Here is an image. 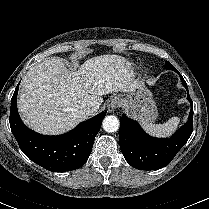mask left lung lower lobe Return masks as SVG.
<instances>
[{"mask_svg": "<svg viewBox=\"0 0 209 209\" xmlns=\"http://www.w3.org/2000/svg\"><path fill=\"white\" fill-rule=\"evenodd\" d=\"M178 74L179 72L174 69ZM191 103L188 122L170 138H154L146 134L139 124L126 117L120 118L119 143L126 161L139 170H156L165 167L188 141L193 131V103L187 84L180 75Z\"/></svg>", "mask_w": 209, "mask_h": 209, "instance_id": "0a47b994", "label": "left lung lower lobe"}]
</instances>
